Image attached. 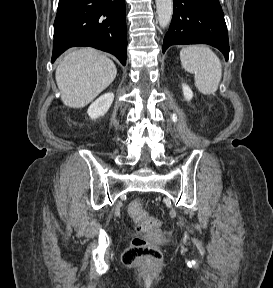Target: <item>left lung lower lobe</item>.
Here are the masks:
<instances>
[{"instance_id":"0a47b994","label":"left lung lower lobe","mask_w":273,"mask_h":288,"mask_svg":"<svg viewBox=\"0 0 273 288\" xmlns=\"http://www.w3.org/2000/svg\"><path fill=\"white\" fill-rule=\"evenodd\" d=\"M171 26L163 41V53L175 44H209L229 56V41L219 0H173Z\"/></svg>"}]
</instances>
